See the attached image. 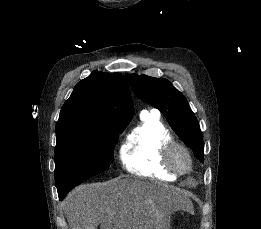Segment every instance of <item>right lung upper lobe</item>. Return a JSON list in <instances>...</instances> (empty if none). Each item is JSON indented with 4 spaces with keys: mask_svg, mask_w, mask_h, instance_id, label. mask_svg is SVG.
Returning a JSON list of instances; mask_svg holds the SVG:
<instances>
[{
    "mask_svg": "<svg viewBox=\"0 0 261 229\" xmlns=\"http://www.w3.org/2000/svg\"><path fill=\"white\" fill-rule=\"evenodd\" d=\"M133 105L119 73L93 71L75 87L56 124L57 144L92 134L96 128L128 124Z\"/></svg>",
    "mask_w": 261,
    "mask_h": 229,
    "instance_id": "right-lung-upper-lobe-1",
    "label": "right lung upper lobe"
}]
</instances>
